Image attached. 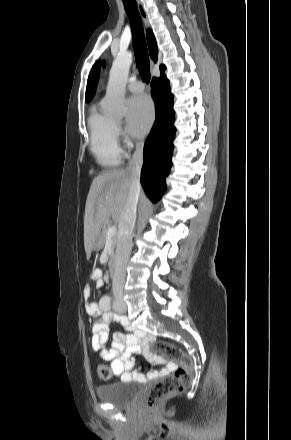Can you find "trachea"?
<instances>
[{
  "label": "trachea",
  "mask_w": 291,
  "mask_h": 440,
  "mask_svg": "<svg viewBox=\"0 0 291 440\" xmlns=\"http://www.w3.org/2000/svg\"><path fill=\"white\" fill-rule=\"evenodd\" d=\"M123 3L131 25L132 44L135 52L136 65L143 81L149 83L150 62L144 36V29L137 9L136 1L123 0Z\"/></svg>",
  "instance_id": "3493384b"
}]
</instances>
